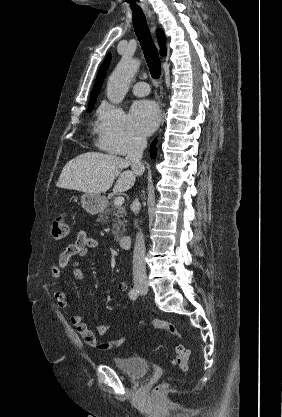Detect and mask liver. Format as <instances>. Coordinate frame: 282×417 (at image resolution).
Wrapping results in <instances>:
<instances>
[{
  "mask_svg": "<svg viewBox=\"0 0 282 417\" xmlns=\"http://www.w3.org/2000/svg\"><path fill=\"white\" fill-rule=\"evenodd\" d=\"M130 162L103 152H84L65 164L57 182L59 188H74L82 192H106L119 176L113 190L124 192L135 182V174L127 168ZM123 170V172H121Z\"/></svg>",
  "mask_w": 282,
  "mask_h": 417,
  "instance_id": "6515ba94",
  "label": "liver"
}]
</instances>
